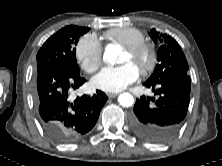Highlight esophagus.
Returning a JSON list of instances; mask_svg holds the SVG:
<instances>
[{
	"instance_id": "1",
	"label": "esophagus",
	"mask_w": 222,
	"mask_h": 166,
	"mask_svg": "<svg viewBox=\"0 0 222 166\" xmlns=\"http://www.w3.org/2000/svg\"><path fill=\"white\" fill-rule=\"evenodd\" d=\"M118 95V93H107V96L109 97V98H114V97H116Z\"/></svg>"
}]
</instances>
